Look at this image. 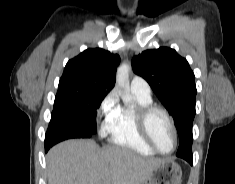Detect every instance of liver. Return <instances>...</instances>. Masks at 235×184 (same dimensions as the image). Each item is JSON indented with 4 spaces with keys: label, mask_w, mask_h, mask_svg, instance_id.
<instances>
[{
    "label": "liver",
    "mask_w": 235,
    "mask_h": 184,
    "mask_svg": "<svg viewBox=\"0 0 235 184\" xmlns=\"http://www.w3.org/2000/svg\"><path fill=\"white\" fill-rule=\"evenodd\" d=\"M48 184H143L163 158L129 148H100L94 140H66L47 154Z\"/></svg>",
    "instance_id": "1"
}]
</instances>
